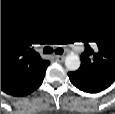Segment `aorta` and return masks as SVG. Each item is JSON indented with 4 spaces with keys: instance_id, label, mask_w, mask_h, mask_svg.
<instances>
[{
    "instance_id": "obj_1",
    "label": "aorta",
    "mask_w": 115,
    "mask_h": 114,
    "mask_svg": "<svg viewBox=\"0 0 115 114\" xmlns=\"http://www.w3.org/2000/svg\"><path fill=\"white\" fill-rule=\"evenodd\" d=\"M81 64L80 58L76 54H68L65 58V66L69 71H76Z\"/></svg>"
}]
</instances>
